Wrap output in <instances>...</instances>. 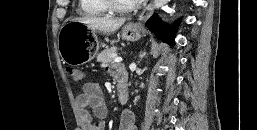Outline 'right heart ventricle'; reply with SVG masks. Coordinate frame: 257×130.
<instances>
[{
	"instance_id": "e07e8e85",
	"label": "right heart ventricle",
	"mask_w": 257,
	"mask_h": 130,
	"mask_svg": "<svg viewBox=\"0 0 257 130\" xmlns=\"http://www.w3.org/2000/svg\"><path fill=\"white\" fill-rule=\"evenodd\" d=\"M78 13L86 16H99L107 12V9L99 0H79Z\"/></svg>"
}]
</instances>
